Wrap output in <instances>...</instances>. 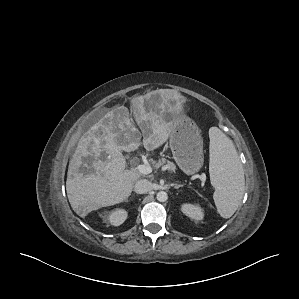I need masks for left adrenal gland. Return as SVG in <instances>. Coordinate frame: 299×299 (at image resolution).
Wrapping results in <instances>:
<instances>
[{"label":"left adrenal gland","instance_id":"obj_1","mask_svg":"<svg viewBox=\"0 0 299 299\" xmlns=\"http://www.w3.org/2000/svg\"><path fill=\"white\" fill-rule=\"evenodd\" d=\"M184 185L183 184H176L175 186H174V188H176V189H178V188H180V187H183Z\"/></svg>","mask_w":299,"mask_h":299}]
</instances>
